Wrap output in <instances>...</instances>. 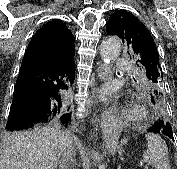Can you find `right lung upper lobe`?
Returning <instances> with one entry per match:
<instances>
[{"instance_id":"cb5924a9","label":"right lung upper lobe","mask_w":177,"mask_h":169,"mask_svg":"<svg viewBox=\"0 0 177 169\" xmlns=\"http://www.w3.org/2000/svg\"><path fill=\"white\" fill-rule=\"evenodd\" d=\"M74 41V36L61 20H52L34 34L24 61L71 65L74 63Z\"/></svg>"}]
</instances>
